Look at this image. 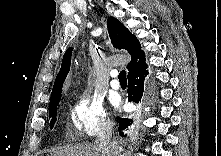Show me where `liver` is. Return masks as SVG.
Listing matches in <instances>:
<instances>
[{"instance_id": "obj_1", "label": "liver", "mask_w": 221, "mask_h": 156, "mask_svg": "<svg viewBox=\"0 0 221 156\" xmlns=\"http://www.w3.org/2000/svg\"><path fill=\"white\" fill-rule=\"evenodd\" d=\"M122 148L116 146L113 152H107L97 142L83 143L54 152L51 156H118Z\"/></svg>"}]
</instances>
